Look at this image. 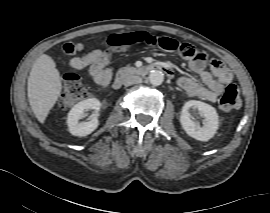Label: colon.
Here are the masks:
<instances>
[{"instance_id": "5ec220e1", "label": "colon", "mask_w": 270, "mask_h": 213, "mask_svg": "<svg viewBox=\"0 0 270 213\" xmlns=\"http://www.w3.org/2000/svg\"><path fill=\"white\" fill-rule=\"evenodd\" d=\"M141 44L155 46L164 51H172L179 48L186 56L193 57L198 61L206 60V54L201 50L192 49L189 43L180 44L174 39L150 35L145 32L113 35L106 44L107 54L131 50ZM215 70L220 77H225L228 74V69L225 65L216 67ZM87 95L88 89L86 85L78 76L71 75L63 82L60 104L63 106H73L76 103L85 100ZM219 104L223 111L236 110L241 106L240 92L236 84H227Z\"/></svg>"}]
</instances>
